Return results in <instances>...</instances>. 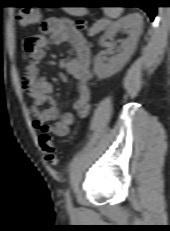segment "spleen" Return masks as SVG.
<instances>
[{"instance_id": "3e777b00", "label": "spleen", "mask_w": 170, "mask_h": 231, "mask_svg": "<svg viewBox=\"0 0 170 231\" xmlns=\"http://www.w3.org/2000/svg\"><path fill=\"white\" fill-rule=\"evenodd\" d=\"M105 15L111 18H118L122 13L123 9L120 7H105L103 9Z\"/></svg>"}]
</instances>
